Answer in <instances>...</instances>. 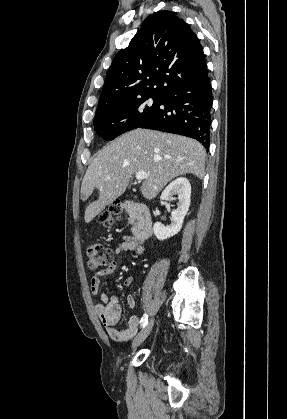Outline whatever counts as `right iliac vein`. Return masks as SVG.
Masks as SVG:
<instances>
[{"instance_id":"obj_1","label":"right iliac vein","mask_w":287,"mask_h":419,"mask_svg":"<svg viewBox=\"0 0 287 419\" xmlns=\"http://www.w3.org/2000/svg\"><path fill=\"white\" fill-rule=\"evenodd\" d=\"M154 325V319H151L147 325L144 327V329L135 337L132 343V349H135L138 347L150 334L152 328Z\"/></svg>"}]
</instances>
